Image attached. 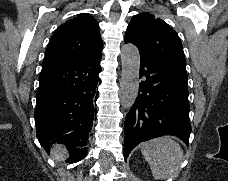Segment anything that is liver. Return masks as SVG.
Returning <instances> with one entry per match:
<instances>
[{
    "label": "liver",
    "mask_w": 228,
    "mask_h": 181,
    "mask_svg": "<svg viewBox=\"0 0 228 181\" xmlns=\"http://www.w3.org/2000/svg\"><path fill=\"white\" fill-rule=\"evenodd\" d=\"M52 151H53L52 155L54 159H60V161H63V159H65L66 149L65 147H63V145H57V147H54Z\"/></svg>",
    "instance_id": "obj_1"
}]
</instances>
